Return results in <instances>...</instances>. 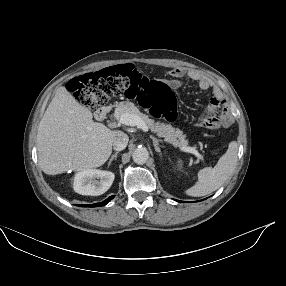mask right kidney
Masks as SVG:
<instances>
[{"instance_id":"right-kidney-1","label":"right kidney","mask_w":286,"mask_h":286,"mask_svg":"<svg viewBox=\"0 0 286 286\" xmlns=\"http://www.w3.org/2000/svg\"><path fill=\"white\" fill-rule=\"evenodd\" d=\"M115 175L110 171L86 169L74 177V190L81 195L98 196L112 185Z\"/></svg>"}]
</instances>
